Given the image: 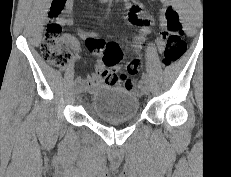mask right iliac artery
Here are the masks:
<instances>
[{"label":"right iliac artery","mask_w":231,"mask_h":177,"mask_svg":"<svg viewBox=\"0 0 231 177\" xmlns=\"http://www.w3.org/2000/svg\"><path fill=\"white\" fill-rule=\"evenodd\" d=\"M78 83H81V78L80 77H77L76 80H75V84H78Z\"/></svg>","instance_id":"obj_1"}]
</instances>
